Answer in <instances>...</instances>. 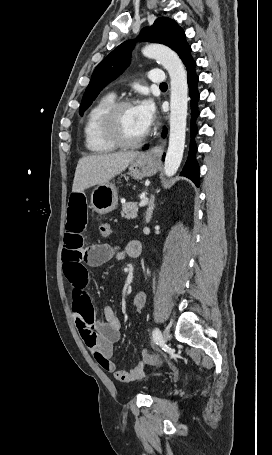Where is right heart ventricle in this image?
I'll return each instance as SVG.
<instances>
[{
  "mask_svg": "<svg viewBox=\"0 0 272 455\" xmlns=\"http://www.w3.org/2000/svg\"><path fill=\"white\" fill-rule=\"evenodd\" d=\"M114 101L113 93L103 95L89 110L85 118L83 128L85 147L93 154H106L117 148L105 139L101 131V118Z\"/></svg>",
  "mask_w": 272,
  "mask_h": 455,
  "instance_id": "right-heart-ventricle-1",
  "label": "right heart ventricle"
}]
</instances>
